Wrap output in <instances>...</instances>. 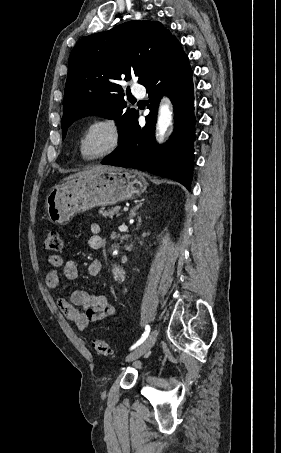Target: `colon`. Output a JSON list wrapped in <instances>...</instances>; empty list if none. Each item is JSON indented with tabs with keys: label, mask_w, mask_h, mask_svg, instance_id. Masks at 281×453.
I'll list each match as a JSON object with an SVG mask.
<instances>
[{
	"label": "colon",
	"mask_w": 281,
	"mask_h": 453,
	"mask_svg": "<svg viewBox=\"0 0 281 453\" xmlns=\"http://www.w3.org/2000/svg\"><path fill=\"white\" fill-rule=\"evenodd\" d=\"M61 249V232L59 230H50L43 242L45 252H59ZM93 348L100 356L107 357L110 355V347L104 340H95Z\"/></svg>",
	"instance_id": "5ec220e1"
}]
</instances>
